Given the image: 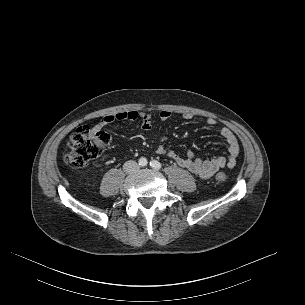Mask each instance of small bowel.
Masks as SVG:
<instances>
[{"instance_id":"obj_1","label":"small bowel","mask_w":305,"mask_h":305,"mask_svg":"<svg viewBox=\"0 0 305 305\" xmlns=\"http://www.w3.org/2000/svg\"><path fill=\"white\" fill-rule=\"evenodd\" d=\"M173 116L174 114L169 110H162L159 113V119L161 121H166ZM177 117L184 120H190L193 118V114L184 113ZM125 120H138L141 122L143 130L150 131L152 129L153 117L149 113L141 111H121L108 114L104 116L93 128L99 131L114 122ZM205 123L208 127L213 128L217 125V120L208 117L206 118ZM220 135L228 146V155L226 157L217 156L211 159L201 160L196 158L191 151H188L184 156H181L174 150L167 149L164 146H158L156 148V153L173 159L179 166L187 169L194 176L200 179H208L224 167H234L240 153L239 142L234 133L228 127H222L220 129ZM158 139L160 142H164L167 139V135L160 134Z\"/></svg>"}]
</instances>
